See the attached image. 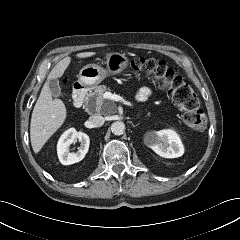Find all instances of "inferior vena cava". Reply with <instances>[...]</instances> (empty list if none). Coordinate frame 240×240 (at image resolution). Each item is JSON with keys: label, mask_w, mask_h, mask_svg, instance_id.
<instances>
[{"label": "inferior vena cava", "mask_w": 240, "mask_h": 240, "mask_svg": "<svg viewBox=\"0 0 240 240\" xmlns=\"http://www.w3.org/2000/svg\"><path fill=\"white\" fill-rule=\"evenodd\" d=\"M89 122L94 126V127H100L104 124L105 118L100 115H92L89 117Z\"/></svg>", "instance_id": "1"}]
</instances>
